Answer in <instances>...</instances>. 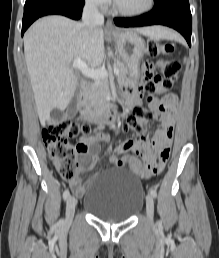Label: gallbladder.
Segmentation results:
<instances>
[{"label":"gallbladder","instance_id":"bac80fb5","mask_svg":"<svg viewBox=\"0 0 219 258\" xmlns=\"http://www.w3.org/2000/svg\"><path fill=\"white\" fill-rule=\"evenodd\" d=\"M79 92H80V86L78 85L74 96L72 97V100L70 102V105L68 107L67 110V115L68 117H75L77 112H78V96H79Z\"/></svg>","mask_w":219,"mask_h":258}]
</instances>
